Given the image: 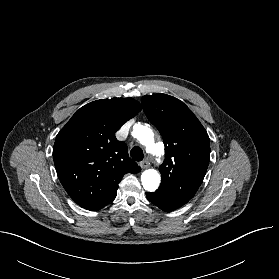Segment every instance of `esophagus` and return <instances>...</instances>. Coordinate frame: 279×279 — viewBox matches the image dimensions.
<instances>
[{
    "instance_id": "esophagus-1",
    "label": "esophagus",
    "mask_w": 279,
    "mask_h": 279,
    "mask_svg": "<svg viewBox=\"0 0 279 279\" xmlns=\"http://www.w3.org/2000/svg\"><path fill=\"white\" fill-rule=\"evenodd\" d=\"M140 166L142 169H147L150 167V161L149 159H144L141 163H140Z\"/></svg>"
}]
</instances>
